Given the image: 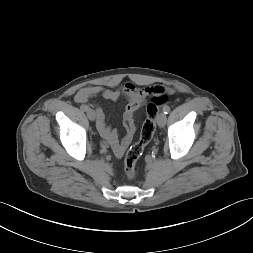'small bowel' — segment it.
Wrapping results in <instances>:
<instances>
[{"mask_svg": "<svg viewBox=\"0 0 253 253\" xmlns=\"http://www.w3.org/2000/svg\"><path fill=\"white\" fill-rule=\"evenodd\" d=\"M156 86L136 87L128 82L121 90H112L99 85L87 86L81 88L75 95L76 103L85 105L91 98L101 95L103 98L110 101H117L121 95L128 99V104L123 114L124 126L126 129L125 136L120 140L116 130L112 129L106 122V115L103 109L96 106L97 129L100 135L111 145L117 157L123 156L125 150L132 142L136 124L134 120L135 112L145 103L147 97L153 94Z\"/></svg>", "mask_w": 253, "mask_h": 253, "instance_id": "small-bowel-1", "label": "small bowel"}]
</instances>
